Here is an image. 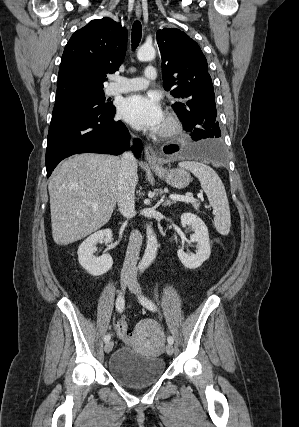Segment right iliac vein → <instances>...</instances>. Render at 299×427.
I'll list each match as a JSON object with an SVG mask.
<instances>
[{
  "instance_id": "right-iliac-vein-1",
  "label": "right iliac vein",
  "mask_w": 299,
  "mask_h": 427,
  "mask_svg": "<svg viewBox=\"0 0 299 427\" xmlns=\"http://www.w3.org/2000/svg\"><path fill=\"white\" fill-rule=\"evenodd\" d=\"M128 286H129V280L127 278H123L122 279V287H123V289H125ZM113 346H114L113 341L106 342L105 347H104L105 352L106 353L111 352V350L113 349Z\"/></svg>"
}]
</instances>
